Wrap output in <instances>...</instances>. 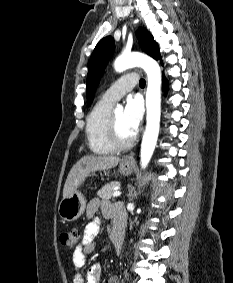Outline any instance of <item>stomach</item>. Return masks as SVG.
Wrapping results in <instances>:
<instances>
[{"label":"stomach","instance_id":"1","mask_svg":"<svg viewBox=\"0 0 233 283\" xmlns=\"http://www.w3.org/2000/svg\"><path fill=\"white\" fill-rule=\"evenodd\" d=\"M133 170V165L121 161L119 164L118 172L123 175H130ZM86 207V200L83 194L75 191L70 196L63 198L58 207L60 217L65 221H74L78 219L84 212Z\"/></svg>","mask_w":233,"mask_h":283}]
</instances>
